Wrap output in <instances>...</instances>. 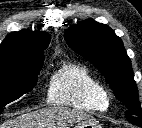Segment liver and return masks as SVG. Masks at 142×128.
<instances>
[{"instance_id":"liver-1","label":"liver","mask_w":142,"mask_h":128,"mask_svg":"<svg viewBox=\"0 0 142 128\" xmlns=\"http://www.w3.org/2000/svg\"><path fill=\"white\" fill-rule=\"evenodd\" d=\"M88 118L91 116L83 111L49 107L7 120L0 128H70Z\"/></svg>"}]
</instances>
